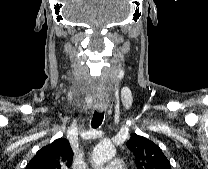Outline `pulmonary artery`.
Returning <instances> with one entry per match:
<instances>
[{
	"mask_svg": "<svg viewBox=\"0 0 208 169\" xmlns=\"http://www.w3.org/2000/svg\"><path fill=\"white\" fill-rule=\"evenodd\" d=\"M125 169V165L122 159L119 158H114L111 161H109L108 164L101 168H96V169Z\"/></svg>",
	"mask_w": 208,
	"mask_h": 169,
	"instance_id": "pulmonary-artery-1",
	"label": "pulmonary artery"
}]
</instances>
